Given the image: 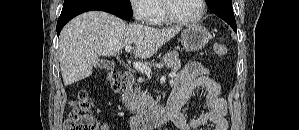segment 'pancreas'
<instances>
[{
    "label": "pancreas",
    "mask_w": 299,
    "mask_h": 130,
    "mask_svg": "<svg viewBox=\"0 0 299 130\" xmlns=\"http://www.w3.org/2000/svg\"><path fill=\"white\" fill-rule=\"evenodd\" d=\"M166 67L178 70L181 67L179 54L177 51H170L163 57ZM127 104L131 112L136 115L147 114L152 107L153 99L147 94V92H141L140 87H136L135 90H129L127 93Z\"/></svg>",
    "instance_id": "1"
}]
</instances>
